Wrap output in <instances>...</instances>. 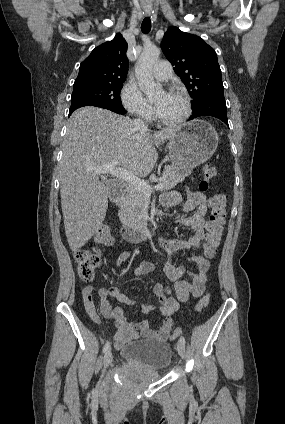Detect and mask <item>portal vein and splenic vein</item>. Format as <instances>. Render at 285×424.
Returning <instances> with one entry per match:
<instances>
[{
	"instance_id": "1",
	"label": "portal vein and splenic vein",
	"mask_w": 285,
	"mask_h": 424,
	"mask_svg": "<svg viewBox=\"0 0 285 424\" xmlns=\"http://www.w3.org/2000/svg\"><path fill=\"white\" fill-rule=\"evenodd\" d=\"M92 170L96 173L110 174L114 177L122 179L129 186L143 192L147 196H150L153 190H162L164 186L163 183H159L158 185L151 187L146 181L140 179L133 173L127 171L124 168L118 167L117 162L95 167Z\"/></svg>"
}]
</instances>
